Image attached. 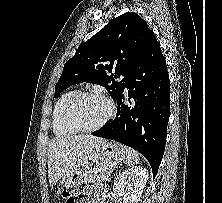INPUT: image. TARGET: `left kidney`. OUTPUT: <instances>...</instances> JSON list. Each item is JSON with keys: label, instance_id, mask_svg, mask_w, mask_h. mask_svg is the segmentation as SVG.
<instances>
[{"label": "left kidney", "instance_id": "5707ae66", "mask_svg": "<svg viewBox=\"0 0 222 203\" xmlns=\"http://www.w3.org/2000/svg\"><path fill=\"white\" fill-rule=\"evenodd\" d=\"M148 179V171L133 166L122 171L114 182L113 191L123 203H138Z\"/></svg>", "mask_w": 222, "mask_h": 203}]
</instances>
